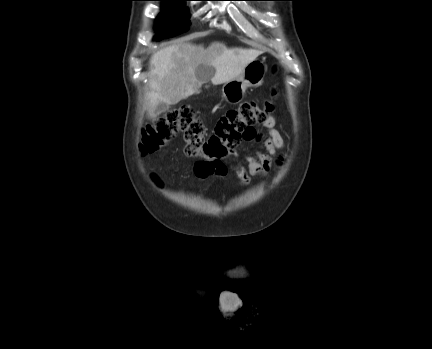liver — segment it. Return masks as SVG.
Here are the masks:
<instances>
[{
	"label": "liver",
	"mask_w": 432,
	"mask_h": 349,
	"mask_svg": "<svg viewBox=\"0 0 432 349\" xmlns=\"http://www.w3.org/2000/svg\"><path fill=\"white\" fill-rule=\"evenodd\" d=\"M260 54L256 49L228 48L220 42L207 48L179 43L156 51L150 60L149 117H156L161 102L173 105L198 93L206 81L201 67L213 68L211 82L218 85L241 75Z\"/></svg>",
	"instance_id": "liver-1"
}]
</instances>
